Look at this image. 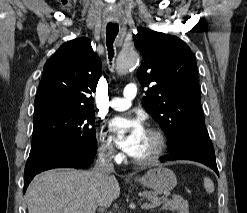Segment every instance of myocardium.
<instances>
[{"mask_svg": "<svg viewBox=\"0 0 247 213\" xmlns=\"http://www.w3.org/2000/svg\"><path fill=\"white\" fill-rule=\"evenodd\" d=\"M147 132L155 136L157 140V146L154 153L148 158L140 159L134 156L131 157L132 161L135 164L141 166H149L156 164L164 156L167 149V138L161 129L152 127L147 129Z\"/></svg>", "mask_w": 247, "mask_h": 213, "instance_id": "f54148a6", "label": "myocardium"}]
</instances>
